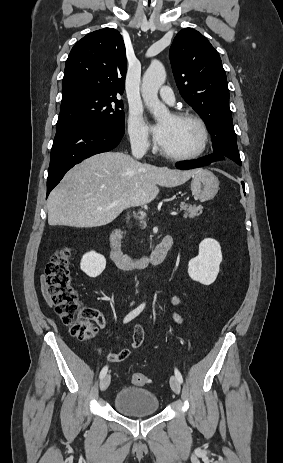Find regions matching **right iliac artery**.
Instances as JSON below:
<instances>
[{"label":"right iliac artery","mask_w":283,"mask_h":463,"mask_svg":"<svg viewBox=\"0 0 283 463\" xmlns=\"http://www.w3.org/2000/svg\"><path fill=\"white\" fill-rule=\"evenodd\" d=\"M144 307H145V303H142L137 308H135L133 311H131L124 318V323H127V322L131 321L132 319H134L136 316H138L143 311ZM107 371H108V367L107 366L103 367V369L100 372V376H99L100 379H102L106 375Z\"/></svg>","instance_id":"82829eb1"}]
</instances>
